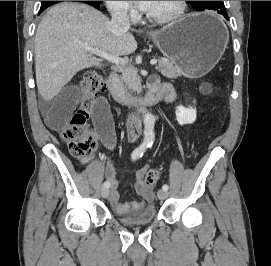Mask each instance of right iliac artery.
<instances>
[{"label":"right iliac artery","mask_w":271,"mask_h":266,"mask_svg":"<svg viewBox=\"0 0 271 266\" xmlns=\"http://www.w3.org/2000/svg\"><path fill=\"white\" fill-rule=\"evenodd\" d=\"M149 147V144L144 142L142 143L138 148H136L133 152H132V159L136 160L140 157H142L143 153L145 152L146 148ZM104 186L109 188L110 187V183L108 181L104 182Z\"/></svg>","instance_id":"82829eb1"}]
</instances>
